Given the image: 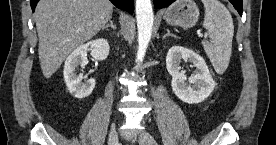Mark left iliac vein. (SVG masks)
Instances as JSON below:
<instances>
[{
  "instance_id": "1",
  "label": "left iliac vein",
  "mask_w": 276,
  "mask_h": 145,
  "mask_svg": "<svg viewBox=\"0 0 276 145\" xmlns=\"http://www.w3.org/2000/svg\"><path fill=\"white\" fill-rule=\"evenodd\" d=\"M139 143L141 145H157L154 137L147 131H143L139 136Z\"/></svg>"
}]
</instances>
